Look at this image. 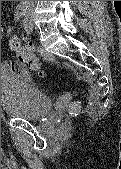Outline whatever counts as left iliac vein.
Returning <instances> with one entry per match:
<instances>
[{"label": "left iliac vein", "instance_id": "left-iliac-vein-1", "mask_svg": "<svg viewBox=\"0 0 121 169\" xmlns=\"http://www.w3.org/2000/svg\"><path fill=\"white\" fill-rule=\"evenodd\" d=\"M25 30L27 33H31L33 31V25L30 20L25 22Z\"/></svg>", "mask_w": 121, "mask_h": 169}]
</instances>
